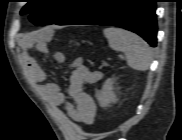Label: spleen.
I'll return each mask as SVG.
<instances>
[{"label":"spleen","instance_id":"3e777b00","mask_svg":"<svg viewBox=\"0 0 182 140\" xmlns=\"http://www.w3.org/2000/svg\"><path fill=\"white\" fill-rule=\"evenodd\" d=\"M109 46L126 55L128 65L138 71L149 69L153 53L149 45L138 35L124 29L110 27L104 29Z\"/></svg>","mask_w":182,"mask_h":140}]
</instances>
